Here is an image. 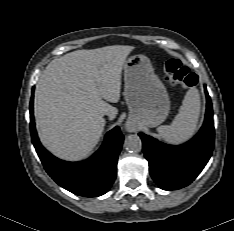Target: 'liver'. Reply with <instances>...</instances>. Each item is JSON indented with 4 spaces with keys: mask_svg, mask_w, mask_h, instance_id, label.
<instances>
[{
    "mask_svg": "<svg viewBox=\"0 0 234 231\" xmlns=\"http://www.w3.org/2000/svg\"><path fill=\"white\" fill-rule=\"evenodd\" d=\"M132 46L76 50L52 60L35 90V121L42 144L55 156L77 161L98 143L104 115L118 110L121 74ZM106 100V101H104Z\"/></svg>",
    "mask_w": 234,
    "mask_h": 231,
    "instance_id": "6515ba94",
    "label": "liver"
}]
</instances>
